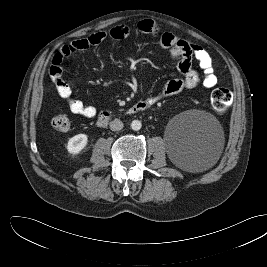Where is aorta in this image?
I'll return each instance as SVG.
<instances>
[{
	"instance_id": "aorta-1",
	"label": "aorta",
	"mask_w": 267,
	"mask_h": 267,
	"mask_svg": "<svg viewBox=\"0 0 267 267\" xmlns=\"http://www.w3.org/2000/svg\"><path fill=\"white\" fill-rule=\"evenodd\" d=\"M142 127V124L139 120H133L131 122V129L134 130V131H138L140 130Z\"/></svg>"
}]
</instances>
